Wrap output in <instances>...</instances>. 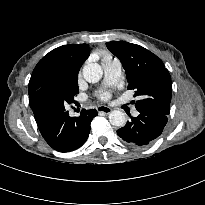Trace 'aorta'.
I'll return each mask as SVG.
<instances>
[{"label": "aorta", "mask_w": 205, "mask_h": 205, "mask_svg": "<svg viewBox=\"0 0 205 205\" xmlns=\"http://www.w3.org/2000/svg\"><path fill=\"white\" fill-rule=\"evenodd\" d=\"M83 77L89 83L98 82L103 75L102 67L97 63H89L83 67ZM109 121L113 126H123L126 122L125 114L122 111L114 110L109 114Z\"/></svg>", "instance_id": "1"}]
</instances>
